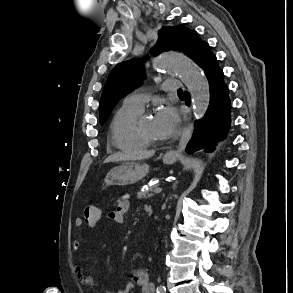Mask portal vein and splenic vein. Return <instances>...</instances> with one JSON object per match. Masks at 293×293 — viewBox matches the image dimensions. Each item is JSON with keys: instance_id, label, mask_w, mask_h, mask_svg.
Here are the masks:
<instances>
[{"instance_id": "obj_1", "label": "portal vein and splenic vein", "mask_w": 293, "mask_h": 293, "mask_svg": "<svg viewBox=\"0 0 293 293\" xmlns=\"http://www.w3.org/2000/svg\"><path fill=\"white\" fill-rule=\"evenodd\" d=\"M153 192L154 193H161L162 192V188L161 187H156Z\"/></svg>"}]
</instances>
